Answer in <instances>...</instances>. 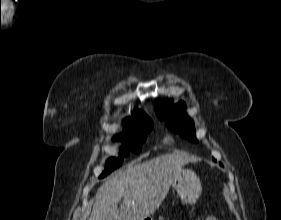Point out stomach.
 I'll use <instances>...</instances> for the list:
<instances>
[{
	"mask_svg": "<svg viewBox=\"0 0 281 220\" xmlns=\"http://www.w3.org/2000/svg\"><path fill=\"white\" fill-rule=\"evenodd\" d=\"M172 186L181 198V201L186 204L195 203L201 193L200 180L196 173L190 169H181L175 176Z\"/></svg>",
	"mask_w": 281,
	"mask_h": 220,
	"instance_id": "1",
	"label": "stomach"
}]
</instances>
